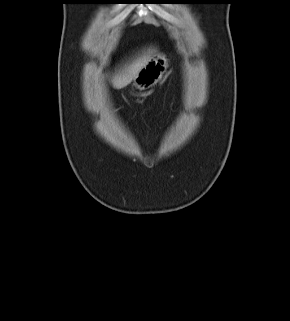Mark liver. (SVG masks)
<instances>
[{"instance_id": "obj_1", "label": "liver", "mask_w": 290, "mask_h": 321, "mask_svg": "<svg viewBox=\"0 0 290 321\" xmlns=\"http://www.w3.org/2000/svg\"><path fill=\"white\" fill-rule=\"evenodd\" d=\"M155 50H148L138 55L132 62L127 63L113 77L112 84L114 88L121 89L131 83L139 71L147 64L153 56Z\"/></svg>"}]
</instances>
